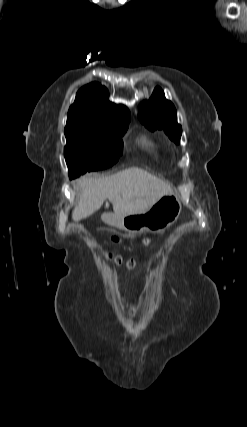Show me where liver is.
Here are the masks:
<instances>
[{"label":"liver","instance_id":"obj_1","mask_svg":"<svg viewBox=\"0 0 247 427\" xmlns=\"http://www.w3.org/2000/svg\"><path fill=\"white\" fill-rule=\"evenodd\" d=\"M75 187L80 194L72 213L74 221L91 216L106 199L112 203L114 214L126 216L144 212L172 193L166 182L138 167L107 177L86 174L75 181Z\"/></svg>","mask_w":247,"mask_h":427}]
</instances>
